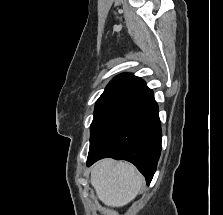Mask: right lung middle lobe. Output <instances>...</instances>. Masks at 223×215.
I'll list each match as a JSON object with an SVG mask.
<instances>
[{"label": "right lung middle lobe", "instance_id": "right-lung-middle-lobe-1", "mask_svg": "<svg viewBox=\"0 0 223 215\" xmlns=\"http://www.w3.org/2000/svg\"><path fill=\"white\" fill-rule=\"evenodd\" d=\"M146 97L128 92H113L99 97L90 127L91 153L107 134Z\"/></svg>", "mask_w": 223, "mask_h": 215}]
</instances>
